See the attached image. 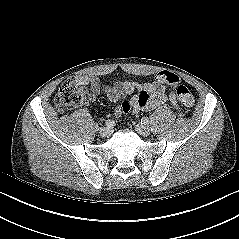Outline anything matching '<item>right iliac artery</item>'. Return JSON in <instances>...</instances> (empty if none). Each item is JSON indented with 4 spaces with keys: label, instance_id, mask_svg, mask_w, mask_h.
<instances>
[{
    "label": "right iliac artery",
    "instance_id": "obj_1",
    "mask_svg": "<svg viewBox=\"0 0 239 239\" xmlns=\"http://www.w3.org/2000/svg\"><path fill=\"white\" fill-rule=\"evenodd\" d=\"M105 125H106L108 128H110V127L114 126V122L111 121V120H107L106 123H105Z\"/></svg>",
    "mask_w": 239,
    "mask_h": 239
}]
</instances>
